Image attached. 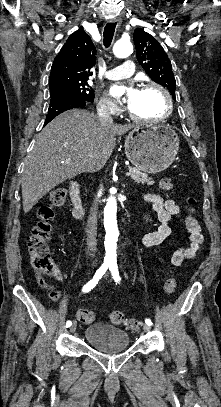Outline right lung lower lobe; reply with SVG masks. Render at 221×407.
Wrapping results in <instances>:
<instances>
[{
  "instance_id": "98d812e1",
  "label": "right lung lower lobe",
  "mask_w": 221,
  "mask_h": 407,
  "mask_svg": "<svg viewBox=\"0 0 221 407\" xmlns=\"http://www.w3.org/2000/svg\"><path fill=\"white\" fill-rule=\"evenodd\" d=\"M88 102L89 101H86L84 99H76V98H65V99L56 100L54 102H50L48 114H47L44 125H46L55 116L59 115L60 113L66 111V110H69V109H73V108L85 107L86 103H88Z\"/></svg>"
}]
</instances>
